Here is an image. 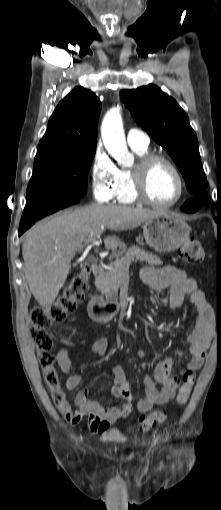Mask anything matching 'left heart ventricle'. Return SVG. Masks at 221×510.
<instances>
[{
	"label": "left heart ventricle",
	"instance_id": "obj_1",
	"mask_svg": "<svg viewBox=\"0 0 221 510\" xmlns=\"http://www.w3.org/2000/svg\"><path fill=\"white\" fill-rule=\"evenodd\" d=\"M150 198L156 202H169L179 191L176 175L165 163H156L150 170L146 182Z\"/></svg>",
	"mask_w": 221,
	"mask_h": 510
}]
</instances>
